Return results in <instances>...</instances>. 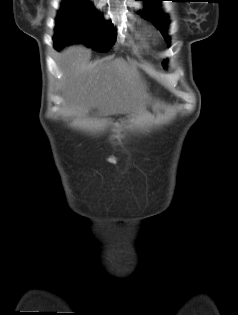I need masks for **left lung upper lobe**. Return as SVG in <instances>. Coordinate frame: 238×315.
<instances>
[{"instance_id":"5c2ea615","label":"left lung upper lobe","mask_w":238,"mask_h":315,"mask_svg":"<svg viewBox=\"0 0 238 315\" xmlns=\"http://www.w3.org/2000/svg\"><path fill=\"white\" fill-rule=\"evenodd\" d=\"M135 1H145V6L149 9V11H143L141 12V16L145 19H152L153 24L157 29H160L161 32H163L167 26L169 25L168 16L164 13H157L153 12L152 10H155L157 7H159L160 2L164 0H135ZM165 36V39L167 42H169V38ZM166 61L163 62L165 67Z\"/></svg>"}]
</instances>
